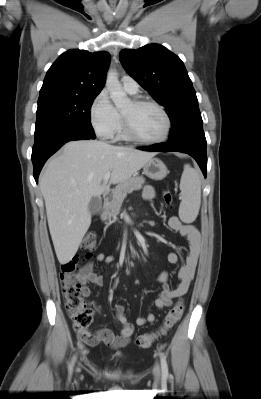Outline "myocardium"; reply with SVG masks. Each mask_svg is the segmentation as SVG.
Wrapping results in <instances>:
<instances>
[{
  "mask_svg": "<svg viewBox=\"0 0 261 399\" xmlns=\"http://www.w3.org/2000/svg\"><path fill=\"white\" fill-rule=\"evenodd\" d=\"M132 102L135 105H137V106L148 105V106H153V107L157 108L161 112L163 117H164L165 124H166L165 131H164L163 135L161 137L157 138V139H146V138H143V137L139 136L134 131L129 119L127 118L126 115H124L122 113L121 114L122 126H123V131H124L125 136L128 139L132 140V141H135V142H138V143H141V144H147V145H154V144H160V143L165 142L169 138V136L171 134L172 121H171V118H170L167 110L164 108V106H162L160 103H158V102H156L154 100L145 99V98H135V99H133Z\"/></svg>",
  "mask_w": 261,
  "mask_h": 399,
  "instance_id": "1",
  "label": "myocardium"
}]
</instances>
